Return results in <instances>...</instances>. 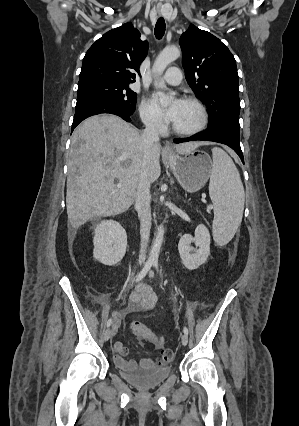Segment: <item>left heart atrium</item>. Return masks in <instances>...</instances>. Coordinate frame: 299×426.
<instances>
[{
  "mask_svg": "<svg viewBox=\"0 0 299 426\" xmlns=\"http://www.w3.org/2000/svg\"><path fill=\"white\" fill-rule=\"evenodd\" d=\"M160 99H161V94L157 93L154 95L153 97V104L154 107L156 108V110H158L159 112H161L169 121L174 122L178 112H179V108L181 105V100H175L167 109H162L160 107Z\"/></svg>",
  "mask_w": 299,
  "mask_h": 426,
  "instance_id": "obj_1",
  "label": "left heart atrium"
}]
</instances>
